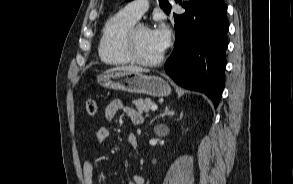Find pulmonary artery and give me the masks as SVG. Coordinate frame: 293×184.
Listing matches in <instances>:
<instances>
[{
    "label": "pulmonary artery",
    "instance_id": "1",
    "mask_svg": "<svg viewBox=\"0 0 293 184\" xmlns=\"http://www.w3.org/2000/svg\"><path fill=\"white\" fill-rule=\"evenodd\" d=\"M148 8V0H134L128 3L123 11L138 20Z\"/></svg>",
    "mask_w": 293,
    "mask_h": 184
}]
</instances>
